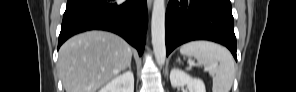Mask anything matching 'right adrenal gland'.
Wrapping results in <instances>:
<instances>
[{
    "label": "right adrenal gland",
    "mask_w": 296,
    "mask_h": 92,
    "mask_svg": "<svg viewBox=\"0 0 296 92\" xmlns=\"http://www.w3.org/2000/svg\"><path fill=\"white\" fill-rule=\"evenodd\" d=\"M131 71V62L128 63L127 67Z\"/></svg>",
    "instance_id": "right-adrenal-gland-1"
}]
</instances>
